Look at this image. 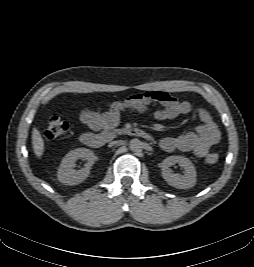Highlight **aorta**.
<instances>
[{
    "instance_id": "obj_1",
    "label": "aorta",
    "mask_w": 254,
    "mask_h": 267,
    "mask_svg": "<svg viewBox=\"0 0 254 267\" xmlns=\"http://www.w3.org/2000/svg\"><path fill=\"white\" fill-rule=\"evenodd\" d=\"M129 148L133 152L140 151L142 148V142L139 139L134 138V139L130 140Z\"/></svg>"
}]
</instances>
